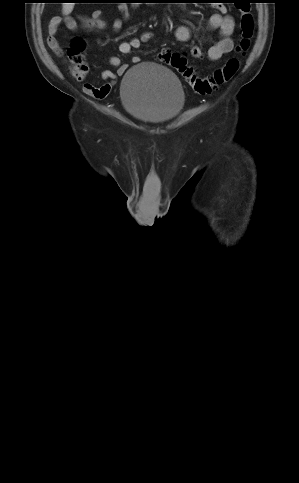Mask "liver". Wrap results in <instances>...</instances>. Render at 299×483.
I'll return each instance as SVG.
<instances>
[{
    "label": "liver",
    "mask_w": 299,
    "mask_h": 483,
    "mask_svg": "<svg viewBox=\"0 0 299 483\" xmlns=\"http://www.w3.org/2000/svg\"><path fill=\"white\" fill-rule=\"evenodd\" d=\"M73 5L74 3H63V8H62L63 14L64 15L70 14L71 11L73 10Z\"/></svg>",
    "instance_id": "liver-1"
}]
</instances>
